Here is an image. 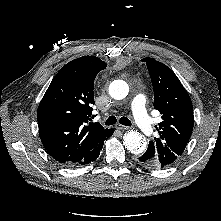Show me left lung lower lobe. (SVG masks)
Returning a JSON list of instances; mask_svg holds the SVG:
<instances>
[{"label": "left lung lower lobe", "instance_id": "left-lung-lower-lobe-1", "mask_svg": "<svg viewBox=\"0 0 221 221\" xmlns=\"http://www.w3.org/2000/svg\"><path fill=\"white\" fill-rule=\"evenodd\" d=\"M138 162L140 165L146 168L152 169H163L164 167L158 160L155 152L153 150H147L143 155L138 158Z\"/></svg>", "mask_w": 221, "mask_h": 221}]
</instances>
